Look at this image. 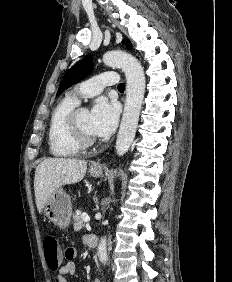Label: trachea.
I'll return each instance as SVG.
<instances>
[{"mask_svg":"<svg viewBox=\"0 0 232 282\" xmlns=\"http://www.w3.org/2000/svg\"><path fill=\"white\" fill-rule=\"evenodd\" d=\"M118 89H119V90H124V89H125V84H124V83H120V84L118 85Z\"/></svg>","mask_w":232,"mask_h":282,"instance_id":"trachea-1","label":"trachea"}]
</instances>
